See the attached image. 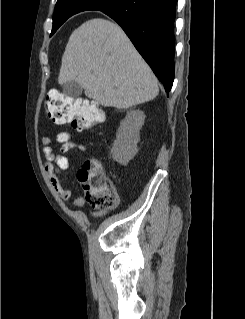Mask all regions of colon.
Masks as SVG:
<instances>
[{
	"label": "colon",
	"mask_w": 245,
	"mask_h": 319,
	"mask_svg": "<svg viewBox=\"0 0 245 319\" xmlns=\"http://www.w3.org/2000/svg\"><path fill=\"white\" fill-rule=\"evenodd\" d=\"M45 106L50 118L60 123H70L79 131L88 130L104 120L99 107L80 98L65 96L58 91H49ZM78 180L85 199L95 208L112 209L118 200L114 183L96 159L84 162L78 172Z\"/></svg>",
	"instance_id": "colon-1"
}]
</instances>
